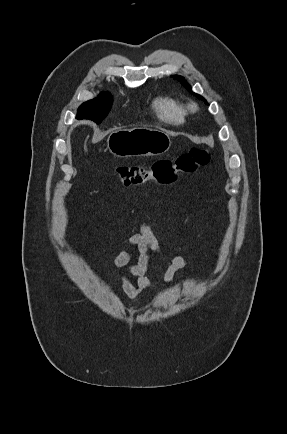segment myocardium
Returning <instances> with one entry per match:
<instances>
[{
    "label": "myocardium",
    "mask_w": 287,
    "mask_h": 434,
    "mask_svg": "<svg viewBox=\"0 0 287 434\" xmlns=\"http://www.w3.org/2000/svg\"><path fill=\"white\" fill-rule=\"evenodd\" d=\"M190 107L193 109V108H194V105H191Z\"/></svg>",
    "instance_id": "1"
}]
</instances>
